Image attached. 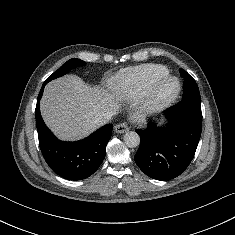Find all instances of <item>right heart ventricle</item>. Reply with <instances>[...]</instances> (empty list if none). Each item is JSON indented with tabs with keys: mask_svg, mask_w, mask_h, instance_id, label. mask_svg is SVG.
<instances>
[{
	"mask_svg": "<svg viewBox=\"0 0 235 235\" xmlns=\"http://www.w3.org/2000/svg\"><path fill=\"white\" fill-rule=\"evenodd\" d=\"M168 74V69L158 64H141L121 71L114 83L115 93L125 100L140 99L151 83Z\"/></svg>",
	"mask_w": 235,
	"mask_h": 235,
	"instance_id": "obj_1",
	"label": "right heart ventricle"
}]
</instances>
